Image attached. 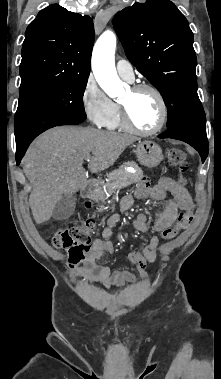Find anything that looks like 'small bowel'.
<instances>
[{
  "instance_id": "1",
  "label": "small bowel",
  "mask_w": 221,
  "mask_h": 379,
  "mask_svg": "<svg viewBox=\"0 0 221 379\" xmlns=\"http://www.w3.org/2000/svg\"><path fill=\"white\" fill-rule=\"evenodd\" d=\"M135 198L166 200L164 210L159 214L153 225H149L145 214H139L133 222L135 230L151 233L150 239L141 251H133L127 255L128 261L137 268L141 277L146 278L147 264L153 263L157 257L160 244L158 234L172 226L179 211L191 209L193 201L187 189L171 177H161L154 184L146 179L140 181L135 191L122 199L121 212L128 210ZM120 219L121 213L111 215L103 226L101 236L93 241L86 267L79 273L86 282L101 283L106 288H121L126 283L133 284L137 281V277L128 269L112 270L109 265L99 263L104 255L114 253V246L110 237Z\"/></svg>"
}]
</instances>
